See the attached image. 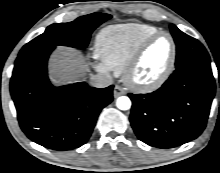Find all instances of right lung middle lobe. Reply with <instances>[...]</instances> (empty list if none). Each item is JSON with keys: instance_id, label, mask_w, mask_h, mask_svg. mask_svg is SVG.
<instances>
[{"instance_id": "obj_1", "label": "right lung middle lobe", "mask_w": 220, "mask_h": 173, "mask_svg": "<svg viewBox=\"0 0 220 173\" xmlns=\"http://www.w3.org/2000/svg\"><path fill=\"white\" fill-rule=\"evenodd\" d=\"M111 16L102 13L77 18L69 23H55L50 25L43 34L27 43L19 55L36 52L38 50L55 47L57 45L71 46L75 48H86L91 33Z\"/></svg>"}]
</instances>
